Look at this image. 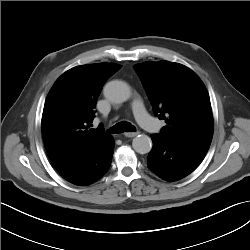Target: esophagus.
<instances>
[{
	"mask_svg": "<svg viewBox=\"0 0 250 250\" xmlns=\"http://www.w3.org/2000/svg\"><path fill=\"white\" fill-rule=\"evenodd\" d=\"M140 132H126L124 133V135L128 138H132V137H135L139 134Z\"/></svg>",
	"mask_w": 250,
	"mask_h": 250,
	"instance_id": "obj_1",
	"label": "esophagus"
}]
</instances>
